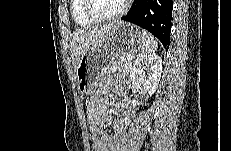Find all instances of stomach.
<instances>
[{"label":"stomach","instance_id":"stomach-1","mask_svg":"<svg viewBox=\"0 0 231 151\" xmlns=\"http://www.w3.org/2000/svg\"><path fill=\"white\" fill-rule=\"evenodd\" d=\"M143 45V35L139 28L118 22L108 39L81 56L76 67L77 88L84 96L95 93L101 76L119 56L133 54Z\"/></svg>","mask_w":231,"mask_h":151}]
</instances>
